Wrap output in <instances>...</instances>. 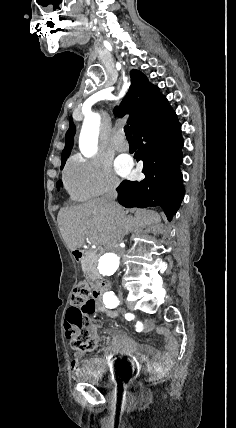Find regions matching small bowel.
Here are the masks:
<instances>
[{"mask_svg":"<svg viewBox=\"0 0 236 428\" xmlns=\"http://www.w3.org/2000/svg\"><path fill=\"white\" fill-rule=\"evenodd\" d=\"M99 309L111 318L118 317L119 313L106 309L103 304H99ZM135 328L139 332L151 333L154 329L163 338L165 350L159 352L156 349L136 342L131 336L118 329H110L108 332L112 336V342L104 349V360H113L116 356L127 355L132 359L133 364L142 366L145 364L148 369L162 371L163 368L177 354L178 346L170 332L164 327H155L149 321L135 322ZM97 361H86L83 353H77L72 361V369L78 372L82 367L96 364Z\"/></svg>","mask_w":236,"mask_h":428,"instance_id":"small-bowel-1","label":"small bowel"}]
</instances>
